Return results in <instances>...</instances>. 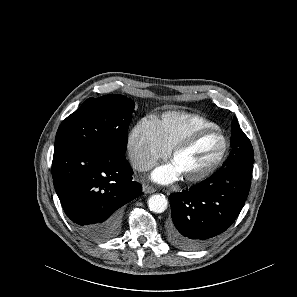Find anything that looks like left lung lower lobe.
<instances>
[{"instance_id": "left-lung-lower-lobe-1", "label": "left lung lower lobe", "mask_w": 297, "mask_h": 297, "mask_svg": "<svg viewBox=\"0 0 297 297\" xmlns=\"http://www.w3.org/2000/svg\"><path fill=\"white\" fill-rule=\"evenodd\" d=\"M253 166L224 167L190 189L170 195L169 242L183 250L209 245L228 229L243 208Z\"/></svg>"}]
</instances>
